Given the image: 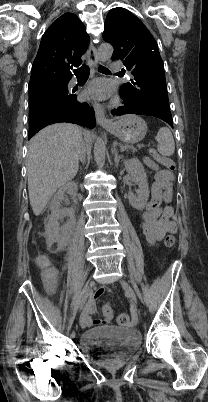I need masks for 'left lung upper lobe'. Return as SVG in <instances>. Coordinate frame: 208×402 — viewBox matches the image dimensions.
<instances>
[{
    "instance_id": "1",
    "label": "left lung upper lobe",
    "mask_w": 208,
    "mask_h": 402,
    "mask_svg": "<svg viewBox=\"0 0 208 402\" xmlns=\"http://www.w3.org/2000/svg\"><path fill=\"white\" fill-rule=\"evenodd\" d=\"M103 38L114 47L112 60H122L131 74L121 93L135 102L169 109L164 65L157 43L142 21L124 8L111 9Z\"/></svg>"
}]
</instances>
